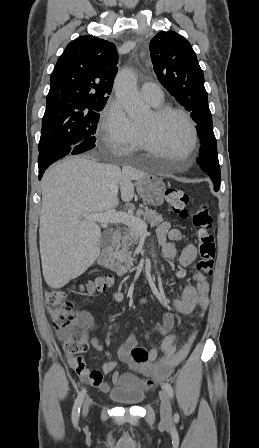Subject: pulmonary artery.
<instances>
[{"label": "pulmonary artery", "mask_w": 259, "mask_h": 448, "mask_svg": "<svg viewBox=\"0 0 259 448\" xmlns=\"http://www.w3.org/2000/svg\"><path fill=\"white\" fill-rule=\"evenodd\" d=\"M142 97L149 103H159L163 101L164 92L162 87L156 83H145L141 86Z\"/></svg>", "instance_id": "obj_1"}]
</instances>
